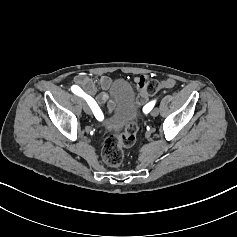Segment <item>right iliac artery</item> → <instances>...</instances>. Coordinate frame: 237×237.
I'll list each match as a JSON object with an SVG mask.
<instances>
[{
	"label": "right iliac artery",
	"mask_w": 237,
	"mask_h": 237,
	"mask_svg": "<svg viewBox=\"0 0 237 237\" xmlns=\"http://www.w3.org/2000/svg\"><path fill=\"white\" fill-rule=\"evenodd\" d=\"M71 90L74 94L83 97L87 101V103L90 106V108L92 109V111H93V109L95 110V111H93V113L96 116V113L98 112V108H99L96 101L92 97H90L89 95L85 94L82 91V89L77 85H73L71 87Z\"/></svg>",
	"instance_id": "82829eb1"
}]
</instances>
